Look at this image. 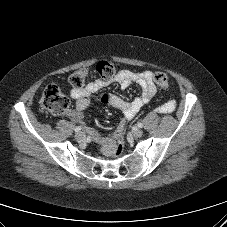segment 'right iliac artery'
Masks as SVG:
<instances>
[{"instance_id":"right-iliac-artery-1","label":"right iliac artery","mask_w":227,"mask_h":227,"mask_svg":"<svg viewBox=\"0 0 227 227\" xmlns=\"http://www.w3.org/2000/svg\"><path fill=\"white\" fill-rule=\"evenodd\" d=\"M81 129H82V128H81L80 126H78V127H76V128L74 129V131H75V132H80Z\"/></svg>"}]
</instances>
